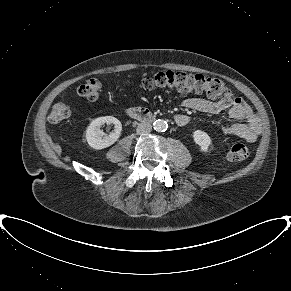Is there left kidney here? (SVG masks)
<instances>
[{"instance_id": "5707ae66", "label": "left kidney", "mask_w": 291, "mask_h": 291, "mask_svg": "<svg viewBox=\"0 0 291 291\" xmlns=\"http://www.w3.org/2000/svg\"><path fill=\"white\" fill-rule=\"evenodd\" d=\"M193 139H194V142L200 147L201 151L203 152L208 151V148L211 145V138L206 132L202 130L194 131Z\"/></svg>"}]
</instances>
